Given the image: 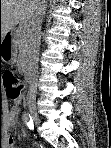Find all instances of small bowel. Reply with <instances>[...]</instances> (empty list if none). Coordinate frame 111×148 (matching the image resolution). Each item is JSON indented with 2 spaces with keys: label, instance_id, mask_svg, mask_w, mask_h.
I'll list each match as a JSON object with an SVG mask.
<instances>
[{
  "label": "small bowel",
  "instance_id": "1",
  "mask_svg": "<svg viewBox=\"0 0 111 148\" xmlns=\"http://www.w3.org/2000/svg\"><path fill=\"white\" fill-rule=\"evenodd\" d=\"M19 107L17 105H14L11 107L10 111L8 112V126L13 127L17 124V119L19 115ZM7 148L15 147V144L12 140V138L8 139Z\"/></svg>",
  "mask_w": 111,
  "mask_h": 148
}]
</instances>
